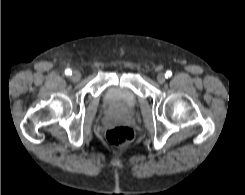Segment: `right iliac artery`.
<instances>
[{"label":"right iliac artery","instance_id":"82829eb1","mask_svg":"<svg viewBox=\"0 0 245 195\" xmlns=\"http://www.w3.org/2000/svg\"><path fill=\"white\" fill-rule=\"evenodd\" d=\"M65 74H66L67 76H69V75L72 74V71H71L70 69H66V70H65Z\"/></svg>","mask_w":245,"mask_h":195}]
</instances>
